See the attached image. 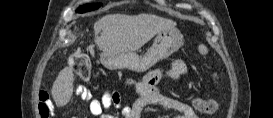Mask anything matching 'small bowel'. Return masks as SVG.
<instances>
[{
	"instance_id": "1",
	"label": "small bowel",
	"mask_w": 273,
	"mask_h": 118,
	"mask_svg": "<svg viewBox=\"0 0 273 118\" xmlns=\"http://www.w3.org/2000/svg\"><path fill=\"white\" fill-rule=\"evenodd\" d=\"M185 73L186 66L184 62L175 60L166 70H154L148 73L140 82H129V86H133L139 95L131 106L123 104L122 96L118 92L105 93L101 97H94L85 87L78 86L76 93L82 100L88 103L89 110L93 116H101L104 109L114 107L117 110L115 118L119 115L122 118H140L145 107L156 106L165 110L179 112L180 115H175L174 118H197L195 101L204 99L195 98L192 100V104H188L163 95L159 88V83L163 79L176 80Z\"/></svg>"
}]
</instances>
